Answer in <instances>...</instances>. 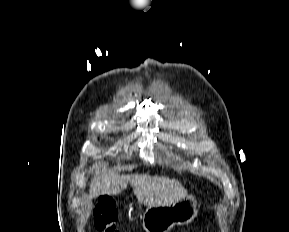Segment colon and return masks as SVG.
<instances>
[{"label":"colon","instance_id":"1","mask_svg":"<svg viewBox=\"0 0 289 232\" xmlns=\"http://www.w3.org/2000/svg\"><path fill=\"white\" fill-rule=\"evenodd\" d=\"M94 223L98 232H120L117 228L119 219L114 200L108 196L99 198L94 209Z\"/></svg>","mask_w":289,"mask_h":232}]
</instances>
